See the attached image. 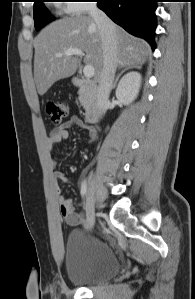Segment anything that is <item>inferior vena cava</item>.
<instances>
[{
    "instance_id": "inferior-vena-cava-1",
    "label": "inferior vena cava",
    "mask_w": 195,
    "mask_h": 299,
    "mask_svg": "<svg viewBox=\"0 0 195 299\" xmlns=\"http://www.w3.org/2000/svg\"><path fill=\"white\" fill-rule=\"evenodd\" d=\"M89 16L97 24L102 42L103 69L98 81L97 107L100 115H104L118 62V41L114 23L96 3L89 5Z\"/></svg>"
}]
</instances>
